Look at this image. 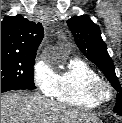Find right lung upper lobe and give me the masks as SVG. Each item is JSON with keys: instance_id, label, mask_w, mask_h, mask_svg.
<instances>
[{"instance_id": "obj_1", "label": "right lung upper lobe", "mask_w": 122, "mask_h": 123, "mask_svg": "<svg viewBox=\"0 0 122 123\" xmlns=\"http://www.w3.org/2000/svg\"><path fill=\"white\" fill-rule=\"evenodd\" d=\"M44 37L41 23L22 16H7L1 22V54L35 55Z\"/></svg>"}]
</instances>
